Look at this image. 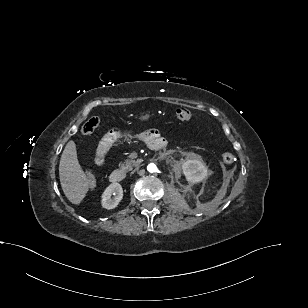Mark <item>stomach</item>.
<instances>
[{"label": "stomach", "mask_w": 308, "mask_h": 308, "mask_svg": "<svg viewBox=\"0 0 308 308\" xmlns=\"http://www.w3.org/2000/svg\"><path fill=\"white\" fill-rule=\"evenodd\" d=\"M150 118L149 114H144L139 117L141 121H147Z\"/></svg>", "instance_id": "obj_1"}]
</instances>
